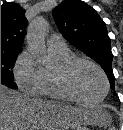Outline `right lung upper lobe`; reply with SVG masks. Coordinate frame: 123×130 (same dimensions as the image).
Returning <instances> with one entry per match:
<instances>
[{
  "label": "right lung upper lobe",
  "instance_id": "cb5924a9",
  "mask_svg": "<svg viewBox=\"0 0 123 130\" xmlns=\"http://www.w3.org/2000/svg\"><path fill=\"white\" fill-rule=\"evenodd\" d=\"M24 13L16 3L1 5V52L20 51L28 24Z\"/></svg>",
  "mask_w": 123,
  "mask_h": 130
}]
</instances>
